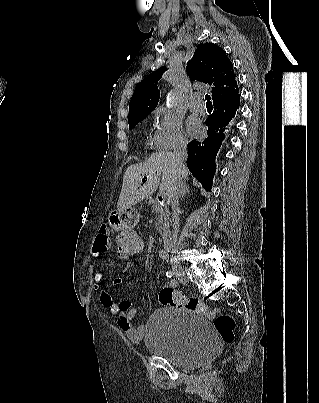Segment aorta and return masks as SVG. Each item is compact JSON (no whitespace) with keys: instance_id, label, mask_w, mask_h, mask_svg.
Listing matches in <instances>:
<instances>
[{"instance_id":"aorta-1","label":"aorta","mask_w":319,"mask_h":403,"mask_svg":"<svg viewBox=\"0 0 319 403\" xmlns=\"http://www.w3.org/2000/svg\"><path fill=\"white\" fill-rule=\"evenodd\" d=\"M175 106V94L171 92L168 95L167 101H166V107L167 108H173Z\"/></svg>"}]
</instances>
